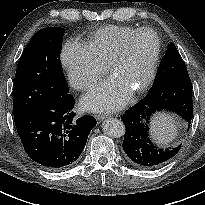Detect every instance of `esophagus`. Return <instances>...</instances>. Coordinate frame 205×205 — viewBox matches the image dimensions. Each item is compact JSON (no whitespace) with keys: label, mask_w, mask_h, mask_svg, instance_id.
Segmentation results:
<instances>
[{"label":"esophagus","mask_w":205,"mask_h":205,"mask_svg":"<svg viewBox=\"0 0 205 205\" xmlns=\"http://www.w3.org/2000/svg\"><path fill=\"white\" fill-rule=\"evenodd\" d=\"M109 117H110L109 115H104V114H97V115H95V118L98 121H102V120H104L106 118H109Z\"/></svg>","instance_id":"esophagus-1"}]
</instances>
